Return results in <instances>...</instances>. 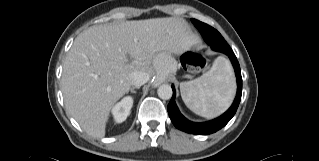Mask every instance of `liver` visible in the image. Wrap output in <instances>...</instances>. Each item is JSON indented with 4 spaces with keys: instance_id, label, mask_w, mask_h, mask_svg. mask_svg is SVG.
Returning <instances> with one entry per match:
<instances>
[{
    "instance_id": "6515ba94",
    "label": "liver",
    "mask_w": 319,
    "mask_h": 161,
    "mask_svg": "<svg viewBox=\"0 0 319 161\" xmlns=\"http://www.w3.org/2000/svg\"><path fill=\"white\" fill-rule=\"evenodd\" d=\"M196 42L186 21L176 17L88 28L76 37L63 64L67 111L89 135L104 137L113 105L130 90L129 75H152L156 53L179 54Z\"/></svg>"
}]
</instances>
